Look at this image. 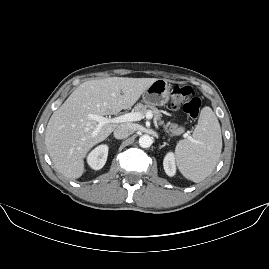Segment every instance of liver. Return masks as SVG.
Here are the masks:
<instances>
[{
    "mask_svg": "<svg viewBox=\"0 0 269 269\" xmlns=\"http://www.w3.org/2000/svg\"><path fill=\"white\" fill-rule=\"evenodd\" d=\"M156 80L108 77L80 84L47 124L45 145L56 169L68 178H79L84 172L83 159L87 152L118 127L105 124L92 137L98 122L89 119L88 114L105 116L129 109Z\"/></svg>",
    "mask_w": 269,
    "mask_h": 269,
    "instance_id": "obj_1",
    "label": "liver"
}]
</instances>
